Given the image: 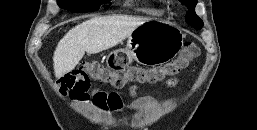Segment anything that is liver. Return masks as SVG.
Wrapping results in <instances>:
<instances>
[{"label": "liver", "mask_w": 257, "mask_h": 130, "mask_svg": "<svg viewBox=\"0 0 257 130\" xmlns=\"http://www.w3.org/2000/svg\"><path fill=\"white\" fill-rule=\"evenodd\" d=\"M148 18L113 15L91 18L69 30L54 51L53 65L56 78L72 71L85 52L96 54L112 48Z\"/></svg>", "instance_id": "1"}]
</instances>
